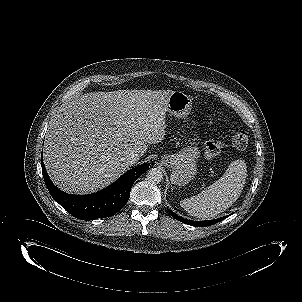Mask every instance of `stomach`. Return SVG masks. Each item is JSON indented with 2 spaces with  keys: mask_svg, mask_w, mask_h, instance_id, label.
Wrapping results in <instances>:
<instances>
[{
  "mask_svg": "<svg viewBox=\"0 0 302 302\" xmlns=\"http://www.w3.org/2000/svg\"><path fill=\"white\" fill-rule=\"evenodd\" d=\"M191 109V96L182 91H173L169 95L166 102V112L171 116L184 118ZM199 157V148L196 145H189L176 154L162 156L161 162L171 169L172 184L184 186L195 178Z\"/></svg>",
  "mask_w": 302,
  "mask_h": 302,
  "instance_id": "0dacf381",
  "label": "stomach"
}]
</instances>
